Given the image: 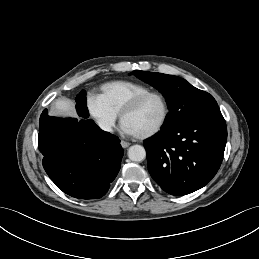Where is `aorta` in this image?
Masks as SVG:
<instances>
[{"mask_svg": "<svg viewBox=\"0 0 259 259\" xmlns=\"http://www.w3.org/2000/svg\"><path fill=\"white\" fill-rule=\"evenodd\" d=\"M146 157L145 148L141 145H133L128 150V158L134 162H141Z\"/></svg>", "mask_w": 259, "mask_h": 259, "instance_id": "aorta-1", "label": "aorta"}]
</instances>
